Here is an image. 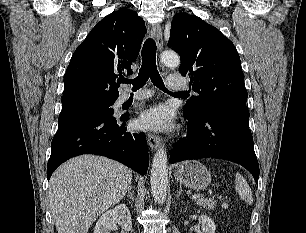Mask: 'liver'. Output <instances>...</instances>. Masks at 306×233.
<instances>
[{"instance_id":"liver-1","label":"liver","mask_w":306,"mask_h":233,"mask_svg":"<svg viewBox=\"0 0 306 233\" xmlns=\"http://www.w3.org/2000/svg\"><path fill=\"white\" fill-rule=\"evenodd\" d=\"M132 182V170L102 156L82 155L52 175L48 198L58 233H87L108 208L117 204Z\"/></svg>"}]
</instances>
